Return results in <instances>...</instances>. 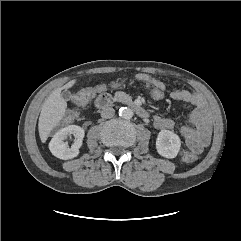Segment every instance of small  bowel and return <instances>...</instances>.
I'll use <instances>...</instances> for the list:
<instances>
[{"label": "small bowel", "instance_id": "obj_1", "mask_svg": "<svg viewBox=\"0 0 241 241\" xmlns=\"http://www.w3.org/2000/svg\"><path fill=\"white\" fill-rule=\"evenodd\" d=\"M136 78L141 83L157 85L166 89V85L162 81L149 74L140 73ZM170 95L173 99L192 106V112L181 126V134L193 153H201L210 142L212 128L209 111L204 99L197 92L186 89L173 90ZM153 124L157 129H171L176 125V120L167 116L155 115Z\"/></svg>", "mask_w": 241, "mask_h": 241}]
</instances>
